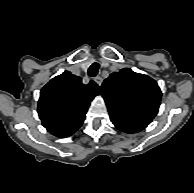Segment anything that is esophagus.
Instances as JSON below:
<instances>
[{"mask_svg": "<svg viewBox=\"0 0 194 193\" xmlns=\"http://www.w3.org/2000/svg\"><path fill=\"white\" fill-rule=\"evenodd\" d=\"M94 80L98 84V86L102 85L103 79L100 76L95 77Z\"/></svg>", "mask_w": 194, "mask_h": 193, "instance_id": "1", "label": "esophagus"}]
</instances>
